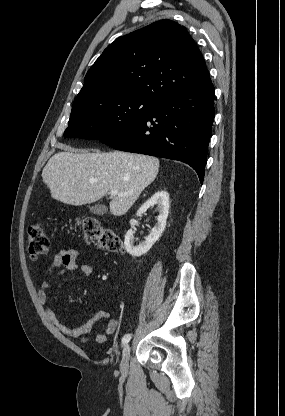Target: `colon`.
I'll use <instances>...</instances> for the list:
<instances>
[{
  "label": "colon",
  "instance_id": "obj_1",
  "mask_svg": "<svg viewBox=\"0 0 285 416\" xmlns=\"http://www.w3.org/2000/svg\"><path fill=\"white\" fill-rule=\"evenodd\" d=\"M78 225L87 243H93L99 248L120 252L122 242L111 228L104 227L97 218L85 217L78 220ZM28 253L32 260L45 255L50 250V239L42 225L36 224L28 229Z\"/></svg>",
  "mask_w": 285,
  "mask_h": 416
}]
</instances>
